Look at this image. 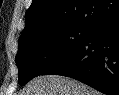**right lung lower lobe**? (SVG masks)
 <instances>
[{
	"instance_id": "right-lung-lower-lobe-1",
	"label": "right lung lower lobe",
	"mask_w": 119,
	"mask_h": 95,
	"mask_svg": "<svg viewBox=\"0 0 119 95\" xmlns=\"http://www.w3.org/2000/svg\"><path fill=\"white\" fill-rule=\"evenodd\" d=\"M63 75L107 94L119 95V19L92 29L42 75Z\"/></svg>"
}]
</instances>
